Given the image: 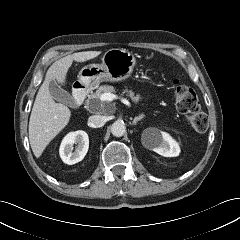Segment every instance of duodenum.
I'll return each instance as SVG.
<instances>
[{
    "mask_svg": "<svg viewBox=\"0 0 240 240\" xmlns=\"http://www.w3.org/2000/svg\"><path fill=\"white\" fill-rule=\"evenodd\" d=\"M73 95L77 104H82L86 98L87 91L83 85L76 84L73 90Z\"/></svg>",
    "mask_w": 240,
    "mask_h": 240,
    "instance_id": "duodenum-1",
    "label": "duodenum"
}]
</instances>
